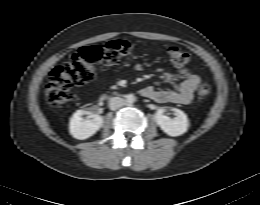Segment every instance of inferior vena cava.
Instances as JSON below:
<instances>
[{
  "mask_svg": "<svg viewBox=\"0 0 260 205\" xmlns=\"http://www.w3.org/2000/svg\"><path fill=\"white\" fill-rule=\"evenodd\" d=\"M124 105V100L120 97H112L109 100V107L111 110H117Z\"/></svg>",
  "mask_w": 260,
  "mask_h": 205,
  "instance_id": "1",
  "label": "inferior vena cava"
}]
</instances>
